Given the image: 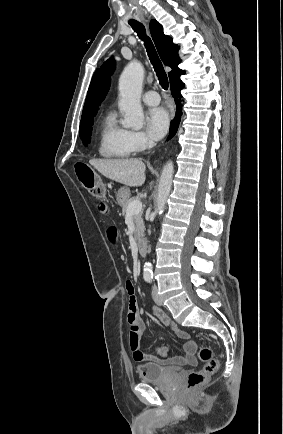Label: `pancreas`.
Instances as JSON below:
<instances>
[{
    "label": "pancreas",
    "mask_w": 283,
    "mask_h": 434,
    "mask_svg": "<svg viewBox=\"0 0 283 434\" xmlns=\"http://www.w3.org/2000/svg\"><path fill=\"white\" fill-rule=\"evenodd\" d=\"M137 200H139L138 197L129 198V200L127 201V203L122 206V214L124 216H126L127 213H128V205L131 202L137 201ZM132 218H133L134 226H135L134 236H135L136 239H139L144 234V221H143V218H142V212L133 214Z\"/></svg>",
    "instance_id": "1"
}]
</instances>
